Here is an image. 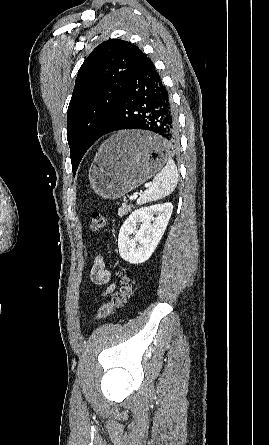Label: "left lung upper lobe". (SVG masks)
I'll list each match as a JSON object with an SVG mask.
<instances>
[{
  "instance_id": "left-lung-upper-lobe-1",
  "label": "left lung upper lobe",
  "mask_w": 269,
  "mask_h": 445,
  "mask_svg": "<svg viewBox=\"0 0 269 445\" xmlns=\"http://www.w3.org/2000/svg\"><path fill=\"white\" fill-rule=\"evenodd\" d=\"M144 53L130 42L99 44L80 67L67 112L73 174L111 120L128 80Z\"/></svg>"
}]
</instances>
